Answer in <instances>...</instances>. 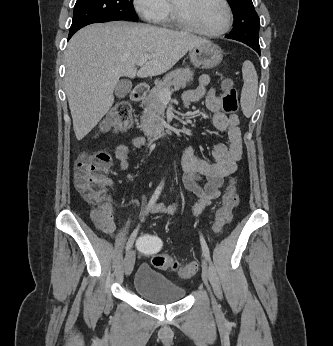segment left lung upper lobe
Returning <instances> with one entry per match:
<instances>
[{"label":"left lung upper lobe","instance_id":"5c2ea615","mask_svg":"<svg viewBox=\"0 0 333 346\" xmlns=\"http://www.w3.org/2000/svg\"><path fill=\"white\" fill-rule=\"evenodd\" d=\"M234 14V28L227 38L245 44H259L260 19L254 9L252 0H227Z\"/></svg>","mask_w":333,"mask_h":346}]
</instances>
